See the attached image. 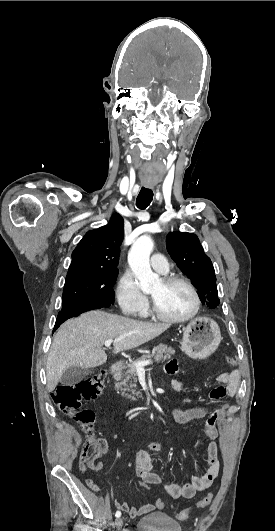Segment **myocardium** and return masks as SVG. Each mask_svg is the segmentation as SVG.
I'll use <instances>...</instances> for the list:
<instances>
[{
  "label": "myocardium",
  "instance_id": "f54148a6",
  "mask_svg": "<svg viewBox=\"0 0 275 531\" xmlns=\"http://www.w3.org/2000/svg\"><path fill=\"white\" fill-rule=\"evenodd\" d=\"M162 281L165 284L182 283L183 285H185L189 289L191 294H192L193 301H194V306H193V309L185 316H182V317H170V316H166V315L162 314L158 310V308L156 306V303H155L153 297L151 296L152 309H153V313L155 314V316L158 319H160L161 321H164V322H167V323H171V324L185 323V322H188L191 319H193L198 314V312L200 310V306H201V300H200L199 293H198L196 287L193 285V283L188 278H186L184 276H180V275L164 276L162 278Z\"/></svg>",
  "mask_w": 275,
  "mask_h": 531
}]
</instances>
